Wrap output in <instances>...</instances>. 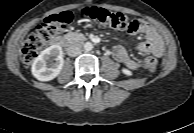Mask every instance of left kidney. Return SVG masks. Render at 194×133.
Masks as SVG:
<instances>
[{
    "label": "left kidney",
    "instance_id": "left-kidney-1",
    "mask_svg": "<svg viewBox=\"0 0 194 133\" xmlns=\"http://www.w3.org/2000/svg\"><path fill=\"white\" fill-rule=\"evenodd\" d=\"M122 72H123L125 75H128V76L132 75V72H131L130 70H128V69H125V68L122 69Z\"/></svg>",
    "mask_w": 194,
    "mask_h": 133
}]
</instances>
